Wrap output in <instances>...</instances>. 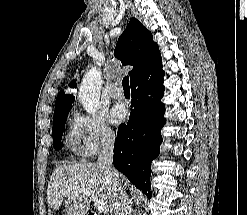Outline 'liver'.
I'll list each match as a JSON object with an SVG mask.
<instances>
[{
	"mask_svg": "<svg viewBox=\"0 0 247 215\" xmlns=\"http://www.w3.org/2000/svg\"><path fill=\"white\" fill-rule=\"evenodd\" d=\"M119 180L122 184L125 178L120 175ZM84 189L93 192L92 200L105 202L112 215L115 189L106 180L103 169L96 163L63 164L55 169L47 188L49 215H60L66 198L75 193L79 194L74 200H68L70 205L66 215H86L90 201L86 195L81 193Z\"/></svg>",
	"mask_w": 247,
	"mask_h": 215,
	"instance_id": "1",
	"label": "liver"
}]
</instances>
